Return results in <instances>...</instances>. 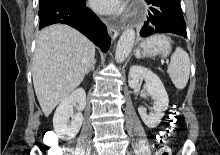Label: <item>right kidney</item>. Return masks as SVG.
<instances>
[{"label":"right kidney","mask_w":220,"mask_h":155,"mask_svg":"<svg viewBox=\"0 0 220 155\" xmlns=\"http://www.w3.org/2000/svg\"><path fill=\"white\" fill-rule=\"evenodd\" d=\"M75 103H78V113L74 115L73 105ZM85 106L86 93L83 88L76 89L60 103L53 117L54 131L60 138L71 140L77 135L83 122L81 111ZM69 118H72L70 123Z\"/></svg>","instance_id":"obj_1"}]
</instances>
